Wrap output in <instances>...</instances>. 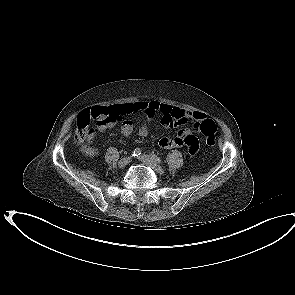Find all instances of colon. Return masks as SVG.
<instances>
[{"instance_id": "1", "label": "colon", "mask_w": 295, "mask_h": 295, "mask_svg": "<svg viewBox=\"0 0 295 295\" xmlns=\"http://www.w3.org/2000/svg\"><path fill=\"white\" fill-rule=\"evenodd\" d=\"M110 115V110L102 106L82 112L77 119V128L74 135L75 141L78 144L87 143L94 134L93 124H98L101 120L109 118ZM197 128L208 144H214L217 136V128L212 119L202 120L197 125Z\"/></svg>"}]
</instances>
